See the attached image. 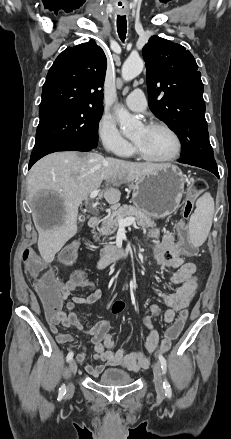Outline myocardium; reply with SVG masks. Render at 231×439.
<instances>
[{
    "mask_svg": "<svg viewBox=\"0 0 231 439\" xmlns=\"http://www.w3.org/2000/svg\"><path fill=\"white\" fill-rule=\"evenodd\" d=\"M146 129H163L170 134L172 137L175 148L171 155L164 158H154L146 155L135 143H133L134 153L142 160L152 162V163H169L176 160L182 152V141L177 134V132L168 124L163 122H151L144 126Z\"/></svg>",
    "mask_w": 231,
    "mask_h": 439,
    "instance_id": "1",
    "label": "myocardium"
}]
</instances>
